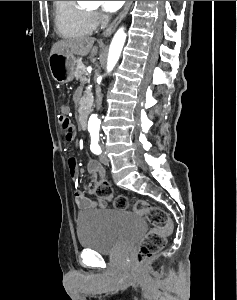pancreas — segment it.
Returning a JSON list of instances; mask_svg holds the SVG:
<instances>
[{"label":"pancreas","instance_id":"1","mask_svg":"<svg viewBox=\"0 0 237 300\" xmlns=\"http://www.w3.org/2000/svg\"><path fill=\"white\" fill-rule=\"evenodd\" d=\"M83 75H84V69H79V67H75V71H74V77L76 79V81H80L81 85H86V83H88L87 79L83 80ZM82 101H80L79 105H80V109H79V115L81 117L82 115V111H84V107L85 105H81Z\"/></svg>","mask_w":237,"mask_h":300}]
</instances>
